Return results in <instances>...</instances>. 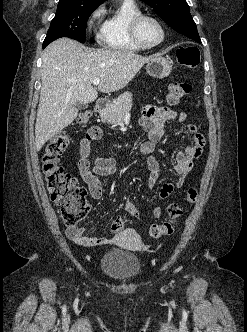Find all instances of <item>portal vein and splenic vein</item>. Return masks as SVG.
<instances>
[{"mask_svg": "<svg viewBox=\"0 0 247 332\" xmlns=\"http://www.w3.org/2000/svg\"><path fill=\"white\" fill-rule=\"evenodd\" d=\"M99 83H100L99 78L93 80V85L97 86Z\"/></svg>", "mask_w": 247, "mask_h": 332, "instance_id": "1", "label": "portal vein and splenic vein"}]
</instances>
